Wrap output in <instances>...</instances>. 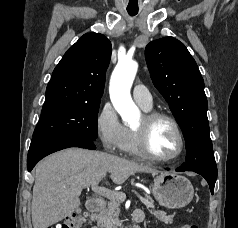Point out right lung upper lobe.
Listing matches in <instances>:
<instances>
[{
    "label": "right lung upper lobe",
    "instance_id": "cb5924a9",
    "mask_svg": "<svg viewBox=\"0 0 238 228\" xmlns=\"http://www.w3.org/2000/svg\"><path fill=\"white\" fill-rule=\"evenodd\" d=\"M110 58L107 37L99 33L83 35L54 69L42 114L68 106L100 104Z\"/></svg>",
    "mask_w": 238,
    "mask_h": 228
}]
</instances>
